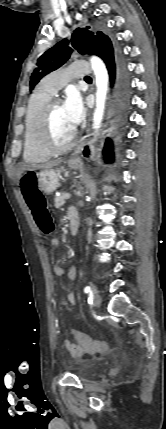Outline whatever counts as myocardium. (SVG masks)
I'll return each instance as SVG.
<instances>
[{
	"label": "myocardium",
	"mask_w": 166,
	"mask_h": 429,
	"mask_svg": "<svg viewBox=\"0 0 166 429\" xmlns=\"http://www.w3.org/2000/svg\"><path fill=\"white\" fill-rule=\"evenodd\" d=\"M62 100L57 97L51 98L45 105L39 121V143L41 147L50 154H60L70 150L76 141L77 131L74 128L69 140L64 144H57L53 140L51 132V117L54 108L61 104Z\"/></svg>",
	"instance_id": "1"
}]
</instances>
